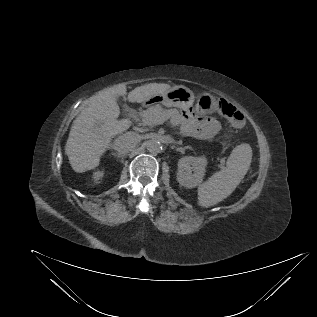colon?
Returning <instances> with one entry per match:
<instances>
[{
    "instance_id": "colon-1",
    "label": "colon",
    "mask_w": 317,
    "mask_h": 317,
    "mask_svg": "<svg viewBox=\"0 0 317 317\" xmlns=\"http://www.w3.org/2000/svg\"><path fill=\"white\" fill-rule=\"evenodd\" d=\"M219 112L228 118L236 127L241 128L244 125L242 113L232 104L222 100L218 105Z\"/></svg>"
}]
</instances>
